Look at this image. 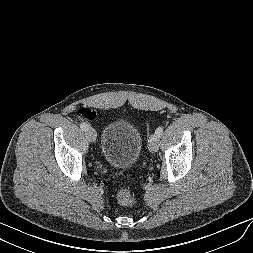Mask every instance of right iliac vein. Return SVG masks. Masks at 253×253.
<instances>
[{"instance_id": "obj_1", "label": "right iliac vein", "mask_w": 253, "mask_h": 253, "mask_svg": "<svg viewBox=\"0 0 253 253\" xmlns=\"http://www.w3.org/2000/svg\"><path fill=\"white\" fill-rule=\"evenodd\" d=\"M86 137L90 142H94L97 138V133L93 128L86 130Z\"/></svg>"}]
</instances>
